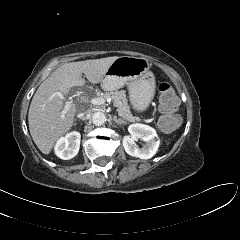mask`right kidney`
Here are the masks:
<instances>
[{"label":"right kidney","mask_w":240,"mask_h":240,"mask_svg":"<svg viewBox=\"0 0 240 240\" xmlns=\"http://www.w3.org/2000/svg\"><path fill=\"white\" fill-rule=\"evenodd\" d=\"M81 135L77 131L68 133L65 137H61L55 145V154L63 159L69 160L75 157L80 148Z\"/></svg>","instance_id":"right-kidney-1"}]
</instances>
